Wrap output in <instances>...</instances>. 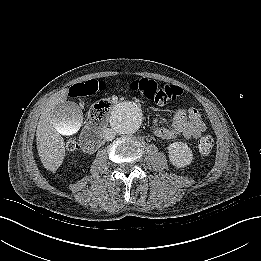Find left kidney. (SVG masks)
<instances>
[{
  "mask_svg": "<svg viewBox=\"0 0 261 261\" xmlns=\"http://www.w3.org/2000/svg\"><path fill=\"white\" fill-rule=\"evenodd\" d=\"M168 156L170 162L178 167H186L193 160V153L186 143L173 142L168 146Z\"/></svg>",
  "mask_w": 261,
  "mask_h": 261,
  "instance_id": "left-kidney-1",
  "label": "left kidney"
}]
</instances>
